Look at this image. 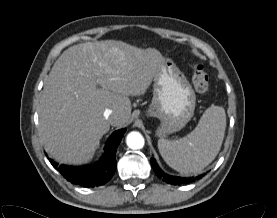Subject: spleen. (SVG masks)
<instances>
[{
  "instance_id": "3e777b00",
  "label": "spleen",
  "mask_w": 277,
  "mask_h": 218,
  "mask_svg": "<svg viewBox=\"0 0 277 218\" xmlns=\"http://www.w3.org/2000/svg\"><path fill=\"white\" fill-rule=\"evenodd\" d=\"M226 129L223 107L211 105L201 116L198 125L179 140H158V149L164 161L174 170L199 173L220 151Z\"/></svg>"
}]
</instances>
